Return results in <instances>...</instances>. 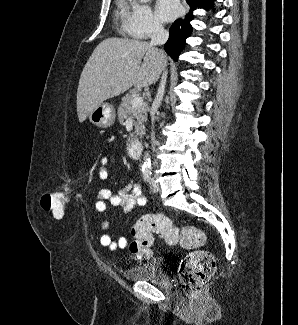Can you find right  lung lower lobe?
Here are the masks:
<instances>
[{"mask_svg": "<svg viewBox=\"0 0 298 325\" xmlns=\"http://www.w3.org/2000/svg\"><path fill=\"white\" fill-rule=\"evenodd\" d=\"M190 6L189 13L186 15L185 19L176 20L169 29V40L165 43L164 48L170 57L175 61L178 60V56L185 45V40L189 37L193 31V27L190 24L195 16L193 11L196 8H203L208 10L213 6L214 0H186Z\"/></svg>", "mask_w": 298, "mask_h": 325, "instance_id": "98d812e1", "label": "right lung lower lobe"}]
</instances>
